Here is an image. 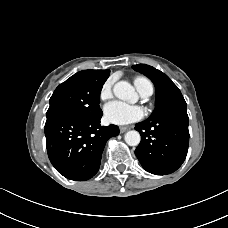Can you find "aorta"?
<instances>
[{
    "instance_id": "1",
    "label": "aorta",
    "mask_w": 228,
    "mask_h": 228,
    "mask_svg": "<svg viewBox=\"0 0 228 228\" xmlns=\"http://www.w3.org/2000/svg\"><path fill=\"white\" fill-rule=\"evenodd\" d=\"M114 95L124 101L134 102L137 100V94L134 87L127 81H119L113 87ZM141 137L138 131L131 130L125 134V142L129 146H137Z\"/></svg>"
}]
</instances>
